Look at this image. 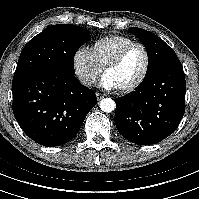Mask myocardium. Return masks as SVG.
I'll return each mask as SVG.
<instances>
[{
    "label": "myocardium",
    "mask_w": 199,
    "mask_h": 199,
    "mask_svg": "<svg viewBox=\"0 0 199 199\" xmlns=\"http://www.w3.org/2000/svg\"><path fill=\"white\" fill-rule=\"evenodd\" d=\"M135 46H139L142 48V50L144 51L145 54V66L143 69V72L141 73V75L139 76V78L132 83L129 86L123 87L121 89H118V91L120 93L123 94H127V93H131L135 90H137L146 80L149 70H150V65H151V56H150V52L147 48V46L141 42H131L129 44H127L126 46H124L123 48H121L118 53L105 65V67L103 68V75H105L109 70L117 67L119 65V63L122 61L123 57L125 56V54L133 47Z\"/></svg>",
    "instance_id": "1"
}]
</instances>
